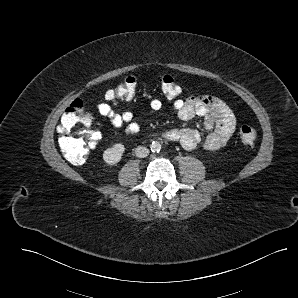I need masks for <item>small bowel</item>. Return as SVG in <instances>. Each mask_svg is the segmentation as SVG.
<instances>
[{"label":"small bowel","instance_id":"obj_1","mask_svg":"<svg viewBox=\"0 0 298 298\" xmlns=\"http://www.w3.org/2000/svg\"><path fill=\"white\" fill-rule=\"evenodd\" d=\"M96 104L99 115L107 118L116 127H124L127 135L136 134L141 125L134 120L132 111L118 112L115 108L117 100ZM152 111H160L163 103L160 99H152L149 103ZM172 112L183 121H189L196 116L203 118V126L208 134L203 137L201 133L192 128L172 129L165 132L169 140L178 141L186 150H194L202 145L207 150H218L223 147L232 136L236 127V118L231 108L218 97L208 94H197L186 98L176 99L172 106Z\"/></svg>","mask_w":298,"mask_h":298}]
</instances>
